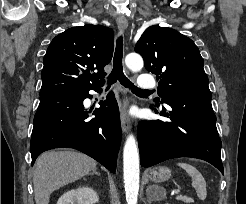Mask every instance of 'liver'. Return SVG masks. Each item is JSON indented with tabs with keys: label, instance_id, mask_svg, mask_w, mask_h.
Wrapping results in <instances>:
<instances>
[{
	"label": "liver",
	"instance_id": "6515ba94",
	"mask_svg": "<svg viewBox=\"0 0 246 204\" xmlns=\"http://www.w3.org/2000/svg\"><path fill=\"white\" fill-rule=\"evenodd\" d=\"M96 165L91 157L73 150L41 154L33 174L36 204H49L53 191L87 175Z\"/></svg>",
	"mask_w": 246,
	"mask_h": 204
}]
</instances>
